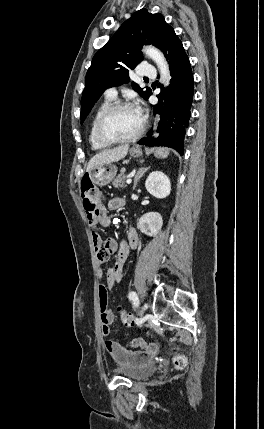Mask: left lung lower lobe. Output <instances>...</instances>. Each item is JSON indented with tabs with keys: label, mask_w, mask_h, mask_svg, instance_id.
Segmentation results:
<instances>
[{
	"label": "left lung lower lobe",
	"mask_w": 264,
	"mask_h": 429,
	"mask_svg": "<svg viewBox=\"0 0 264 429\" xmlns=\"http://www.w3.org/2000/svg\"><path fill=\"white\" fill-rule=\"evenodd\" d=\"M161 50L168 60L172 79L167 90L162 88L158 95L159 105L153 106L154 112L161 115L157 129L160 135L153 139L149 134L138 143L148 146H168L183 155L184 136L191 116L194 93L191 65L182 42L173 29L166 35Z\"/></svg>",
	"instance_id": "0a47b994"
}]
</instances>
